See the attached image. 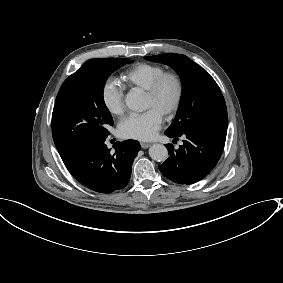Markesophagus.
I'll list each match as a JSON object with an SVG mask.
<instances>
[{"label":"esophagus","instance_id":"esophagus-1","mask_svg":"<svg viewBox=\"0 0 283 283\" xmlns=\"http://www.w3.org/2000/svg\"><path fill=\"white\" fill-rule=\"evenodd\" d=\"M150 146H151L150 143L141 142V147L144 148V149H146V148H148V147H150Z\"/></svg>","mask_w":283,"mask_h":283}]
</instances>
